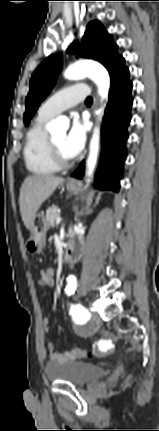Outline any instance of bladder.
Segmentation results:
<instances>
[{
    "instance_id": "1",
    "label": "bladder",
    "mask_w": 159,
    "mask_h": 431,
    "mask_svg": "<svg viewBox=\"0 0 159 431\" xmlns=\"http://www.w3.org/2000/svg\"><path fill=\"white\" fill-rule=\"evenodd\" d=\"M106 374V368L84 361L49 362L45 367V376L50 382L69 383L75 386L89 384Z\"/></svg>"
}]
</instances>
